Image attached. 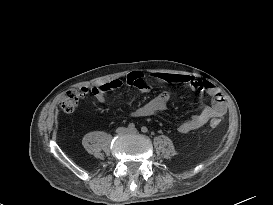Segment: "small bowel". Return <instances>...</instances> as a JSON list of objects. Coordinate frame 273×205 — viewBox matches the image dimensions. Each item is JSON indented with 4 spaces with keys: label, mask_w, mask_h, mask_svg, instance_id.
<instances>
[{
    "label": "small bowel",
    "mask_w": 273,
    "mask_h": 205,
    "mask_svg": "<svg viewBox=\"0 0 273 205\" xmlns=\"http://www.w3.org/2000/svg\"><path fill=\"white\" fill-rule=\"evenodd\" d=\"M151 83L186 84L192 91H205L210 96V104L203 106L199 113L180 124L179 131L181 133H188L199 129L211 118L222 117L227 111V105L222 94L212 83L185 74L157 72L145 75L140 71H133L125 78H117L95 85L91 88V93L98 102L104 103L106 101L105 95L110 91L123 86H133L137 89V92H143L149 88ZM170 99L171 93L163 91L142 106L136 108L133 115L145 117L163 111L167 108ZM133 100L134 96L128 98V101Z\"/></svg>",
    "instance_id": "obj_1"
}]
</instances>
